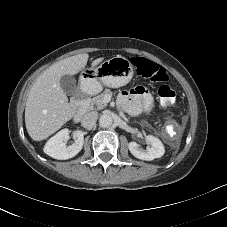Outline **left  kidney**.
Listing matches in <instances>:
<instances>
[{"mask_svg":"<svg viewBox=\"0 0 227 227\" xmlns=\"http://www.w3.org/2000/svg\"><path fill=\"white\" fill-rule=\"evenodd\" d=\"M145 139L151 144V147H148L146 150L141 149L136 142H130L128 144L129 151L133 156L141 160L151 161L164 155V145L157 137L146 135Z\"/></svg>","mask_w":227,"mask_h":227,"instance_id":"5707ae66","label":"left kidney"}]
</instances>
